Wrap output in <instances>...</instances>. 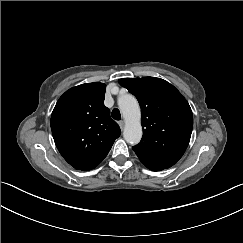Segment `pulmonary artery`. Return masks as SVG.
Listing matches in <instances>:
<instances>
[{"label": "pulmonary artery", "mask_w": 243, "mask_h": 243, "mask_svg": "<svg viewBox=\"0 0 243 243\" xmlns=\"http://www.w3.org/2000/svg\"><path fill=\"white\" fill-rule=\"evenodd\" d=\"M125 102H126V101H121V102H119L118 104H119V106H122V105L125 104Z\"/></svg>", "instance_id": "e3ab8cb5"}]
</instances>
